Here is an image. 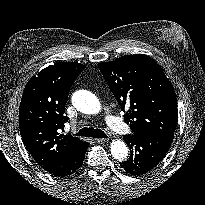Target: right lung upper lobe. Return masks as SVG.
I'll return each instance as SVG.
<instances>
[{"label":"right lung upper lobe","instance_id":"obj_1","mask_svg":"<svg viewBox=\"0 0 205 205\" xmlns=\"http://www.w3.org/2000/svg\"><path fill=\"white\" fill-rule=\"evenodd\" d=\"M85 68L76 62H58L27 83L19 108L21 137L34 160L49 171L81 149L83 141L61 134L70 87Z\"/></svg>","mask_w":205,"mask_h":205}]
</instances>
